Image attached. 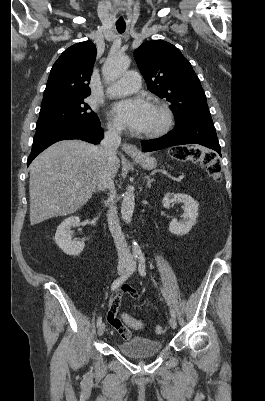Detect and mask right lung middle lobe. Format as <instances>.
Instances as JSON below:
<instances>
[{
	"instance_id": "obj_1",
	"label": "right lung middle lobe",
	"mask_w": 265,
	"mask_h": 401,
	"mask_svg": "<svg viewBox=\"0 0 265 401\" xmlns=\"http://www.w3.org/2000/svg\"><path fill=\"white\" fill-rule=\"evenodd\" d=\"M86 97L56 100L41 104L36 128L56 123H83L100 125L98 116L90 112L85 103Z\"/></svg>"
}]
</instances>
